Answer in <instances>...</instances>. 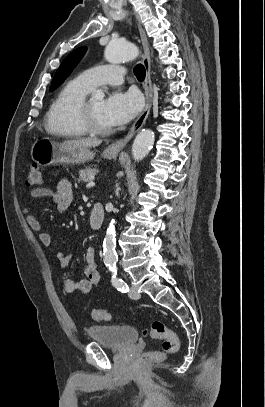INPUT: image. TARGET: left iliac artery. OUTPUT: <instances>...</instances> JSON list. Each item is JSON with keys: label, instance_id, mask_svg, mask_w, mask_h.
<instances>
[{"label": "left iliac artery", "instance_id": "obj_1", "mask_svg": "<svg viewBox=\"0 0 265 407\" xmlns=\"http://www.w3.org/2000/svg\"><path fill=\"white\" fill-rule=\"evenodd\" d=\"M111 282H112L113 286L115 288H117L118 291H120L122 293L129 292L128 285L122 279L114 277V278H112Z\"/></svg>", "mask_w": 265, "mask_h": 407}]
</instances>
